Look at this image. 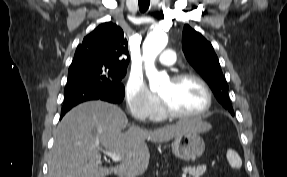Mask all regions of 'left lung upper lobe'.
<instances>
[{
	"instance_id": "5c2ea615",
	"label": "left lung upper lobe",
	"mask_w": 287,
	"mask_h": 177,
	"mask_svg": "<svg viewBox=\"0 0 287 177\" xmlns=\"http://www.w3.org/2000/svg\"><path fill=\"white\" fill-rule=\"evenodd\" d=\"M182 43L188 62L208 83L223 107L234 115L227 95L228 85L211 43L189 25L184 26Z\"/></svg>"
}]
</instances>
